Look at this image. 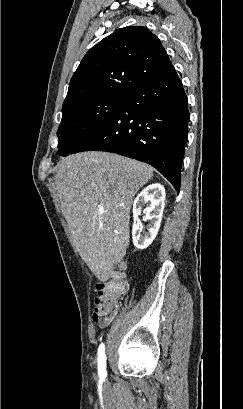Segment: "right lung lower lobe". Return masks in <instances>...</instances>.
<instances>
[{"mask_svg":"<svg viewBox=\"0 0 243 409\" xmlns=\"http://www.w3.org/2000/svg\"><path fill=\"white\" fill-rule=\"evenodd\" d=\"M188 121L187 96L174 71L130 93L109 123L70 154L107 151L146 162L179 193Z\"/></svg>","mask_w":243,"mask_h":409,"instance_id":"right-lung-lower-lobe-1","label":"right lung lower lobe"}]
</instances>
